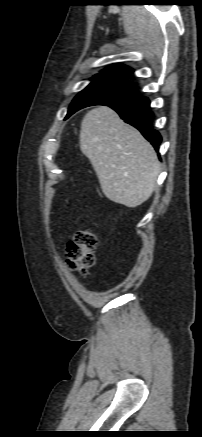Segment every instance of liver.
I'll return each instance as SVG.
<instances>
[{"instance_id":"liver-1","label":"liver","mask_w":202,"mask_h":437,"mask_svg":"<svg viewBox=\"0 0 202 437\" xmlns=\"http://www.w3.org/2000/svg\"><path fill=\"white\" fill-rule=\"evenodd\" d=\"M80 149L90 160L104 195L134 208L152 195L160 164L152 145L107 106L86 113Z\"/></svg>"}]
</instances>
